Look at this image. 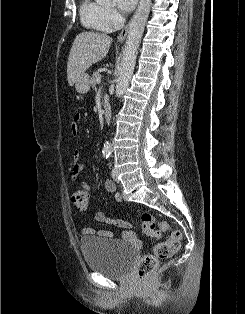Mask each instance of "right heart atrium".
<instances>
[{"label": "right heart atrium", "instance_id": "obj_1", "mask_svg": "<svg viewBox=\"0 0 245 314\" xmlns=\"http://www.w3.org/2000/svg\"><path fill=\"white\" fill-rule=\"evenodd\" d=\"M118 20H119V14L114 8L112 7L104 8L103 22H104V26L107 29H112L115 25H117Z\"/></svg>", "mask_w": 245, "mask_h": 314}]
</instances>
